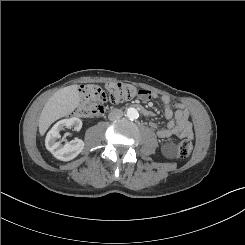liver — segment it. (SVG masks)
I'll return each instance as SVG.
<instances>
[{"label":"liver","instance_id":"6515ba94","mask_svg":"<svg viewBox=\"0 0 245 245\" xmlns=\"http://www.w3.org/2000/svg\"><path fill=\"white\" fill-rule=\"evenodd\" d=\"M79 85L59 89L46 102L39 117V133L45 134L56 120L71 113L80 102Z\"/></svg>","mask_w":245,"mask_h":245}]
</instances>
